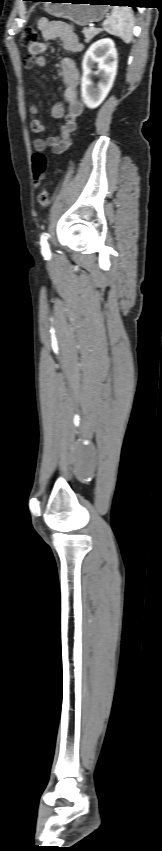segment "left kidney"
<instances>
[{
	"instance_id": "5707ae66",
	"label": "left kidney",
	"mask_w": 162,
	"mask_h": 851,
	"mask_svg": "<svg viewBox=\"0 0 162 851\" xmlns=\"http://www.w3.org/2000/svg\"><path fill=\"white\" fill-rule=\"evenodd\" d=\"M117 64V51L112 39L96 41L86 51L82 61L81 96L89 109L97 108L107 97L116 76ZM93 68H97L100 77L97 86L92 81Z\"/></svg>"
}]
</instances>
